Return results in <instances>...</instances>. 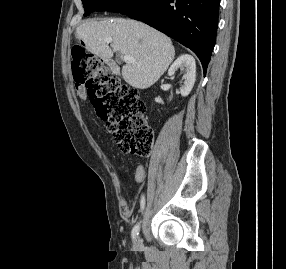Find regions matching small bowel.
<instances>
[{
	"instance_id": "obj_1",
	"label": "small bowel",
	"mask_w": 286,
	"mask_h": 269,
	"mask_svg": "<svg viewBox=\"0 0 286 269\" xmlns=\"http://www.w3.org/2000/svg\"><path fill=\"white\" fill-rule=\"evenodd\" d=\"M83 95V92L80 91ZM146 172L142 165H138L135 170L134 180L137 184H141L145 180Z\"/></svg>"
}]
</instances>
